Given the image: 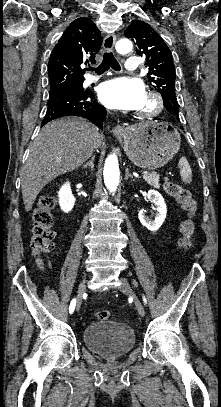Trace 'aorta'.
Masks as SVG:
<instances>
[{"mask_svg":"<svg viewBox=\"0 0 221 407\" xmlns=\"http://www.w3.org/2000/svg\"><path fill=\"white\" fill-rule=\"evenodd\" d=\"M116 50L126 54L132 50V42L129 39H121L116 43ZM104 183L110 192H115L119 185V164L115 154L107 157L103 170Z\"/></svg>","mask_w":221,"mask_h":407,"instance_id":"1","label":"aorta"}]
</instances>
